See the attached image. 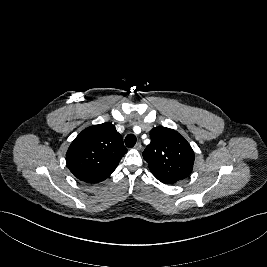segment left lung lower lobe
Instances as JSON below:
<instances>
[{"instance_id": "1", "label": "left lung lower lobe", "mask_w": 267, "mask_h": 267, "mask_svg": "<svg viewBox=\"0 0 267 267\" xmlns=\"http://www.w3.org/2000/svg\"><path fill=\"white\" fill-rule=\"evenodd\" d=\"M159 181L165 183V184H172V183H175L174 181H170V180H163V179H159L157 178Z\"/></svg>"}]
</instances>
